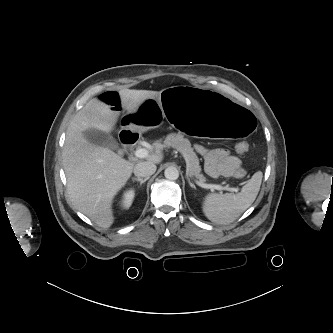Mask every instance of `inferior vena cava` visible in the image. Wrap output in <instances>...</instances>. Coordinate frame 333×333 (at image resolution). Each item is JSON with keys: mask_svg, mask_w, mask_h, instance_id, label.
Instances as JSON below:
<instances>
[{"mask_svg": "<svg viewBox=\"0 0 333 333\" xmlns=\"http://www.w3.org/2000/svg\"><path fill=\"white\" fill-rule=\"evenodd\" d=\"M156 171V165L151 162H140L134 167V174L138 177L149 178Z\"/></svg>", "mask_w": 333, "mask_h": 333, "instance_id": "602c4592", "label": "inferior vena cava"}]
</instances>
